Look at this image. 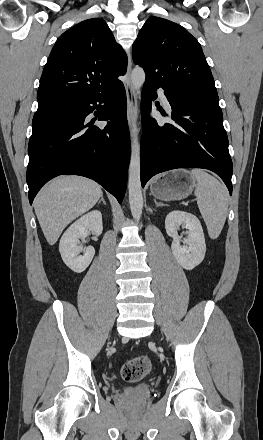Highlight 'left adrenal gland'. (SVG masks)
Wrapping results in <instances>:
<instances>
[{
    "mask_svg": "<svg viewBox=\"0 0 263 440\" xmlns=\"http://www.w3.org/2000/svg\"><path fill=\"white\" fill-rule=\"evenodd\" d=\"M154 202H155V204H156L157 207H159V206H165V204H163V203H158L155 199H154Z\"/></svg>",
    "mask_w": 263,
    "mask_h": 440,
    "instance_id": "obj_1",
    "label": "left adrenal gland"
}]
</instances>
